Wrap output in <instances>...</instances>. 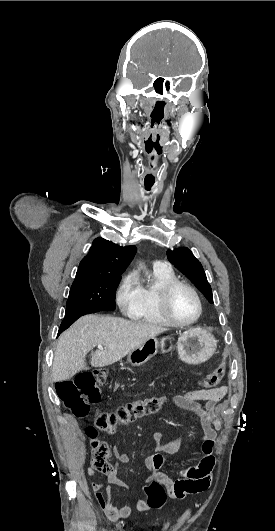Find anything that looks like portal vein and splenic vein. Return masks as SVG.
<instances>
[{"instance_id": "obj_1", "label": "portal vein and splenic vein", "mask_w": 275, "mask_h": 531, "mask_svg": "<svg viewBox=\"0 0 275 531\" xmlns=\"http://www.w3.org/2000/svg\"><path fill=\"white\" fill-rule=\"evenodd\" d=\"M98 349H100V351H104L102 345H98Z\"/></svg>"}]
</instances>
